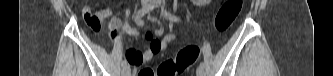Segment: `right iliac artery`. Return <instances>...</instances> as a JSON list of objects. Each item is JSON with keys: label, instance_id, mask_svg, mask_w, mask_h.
<instances>
[{"label": "right iliac artery", "instance_id": "1", "mask_svg": "<svg viewBox=\"0 0 333 76\" xmlns=\"http://www.w3.org/2000/svg\"><path fill=\"white\" fill-rule=\"evenodd\" d=\"M161 1L160 0H153L151 2H148L147 5L143 8H141L138 12H137V18L138 19H142V17L148 13L150 10H153L154 8L158 7L160 5ZM121 66L123 69H125L127 67V61L123 60L121 63ZM129 68V67H128Z\"/></svg>", "mask_w": 333, "mask_h": 76}]
</instances>
